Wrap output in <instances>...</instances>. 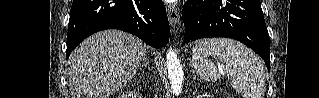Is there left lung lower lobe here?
<instances>
[{
  "instance_id": "obj_1",
  "label": "left lung lower lobe",
  "mask_w": 319,
  "mask_h": 98,
  "mask_svg": "<svg viewBox=\"0 0 319 98\" xmlns=\"http://www.w3.org/2000/svg\"><path fill=\"white\" fill-rule=\"evenodd\" d=\"M182 17L184 43L208 37L232 38L258 53L270 70L269 34L260 0H188Z\"/></svg>"
}]
</instances>
